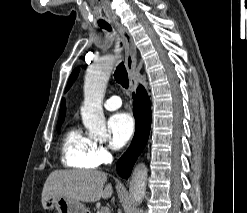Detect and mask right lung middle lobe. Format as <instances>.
<instances>
[{
	"mask_svg": "<svg viewBox=\"0 0 247 213\" xmlns=\"http://www.w3.org/2000/svg\"><path fill=\"white\" fill-rule=\"evenodd\" d=\"M62 123H58V126H57V130L59 131L60 129V126H61Z\"/></svg>",
	"mask_w": 247,
	"mask_h": 213,
	"instance_id": "obj_1",
	"label": "right lung middle lobe"
}]
</instances>
